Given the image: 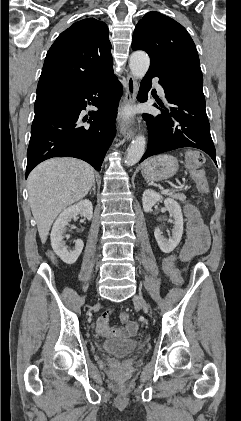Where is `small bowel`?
<instances>
[{"label": "small bowel", "instance_id": "1", "mask_svg": "<svg viewBox=\"0 0 241 421\" xmlns=\"http://www.w3.org/2000/svg\"><path fill=\"white\" fill-rule=\"evenodd\" d=\"M184 213L187 217L186 239L180 251V258L188 260L208 250L210 235L195 206L186 204ZM112 312L109 309L98 318L97 332L104 337L129 338L134 336L137 332L138 324L135 321H130L123 326H111L109 320Z\"/></svg>", "mask_w": 241, "mask_h": 421}]
</instances>
